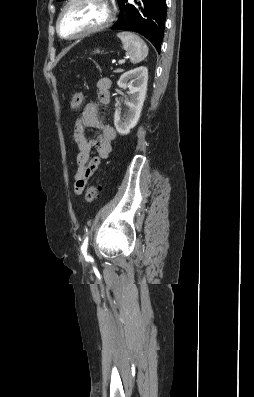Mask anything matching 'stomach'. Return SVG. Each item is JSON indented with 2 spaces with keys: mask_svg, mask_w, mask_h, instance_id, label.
<instances>
[{
  "mask_svg": "<svg viewBox=\"0 0 254 397\" xmlns=\"http://www.w3.org/2000/svg\"><path fill=\"white\" fill-rule=\"evenodd\" d=\"M98 52H99V50L97 49V50H96V53H98Z\"/></svg>",
  "mask_w": 254,
  "mask_h": 397,
  "instance_id": "0dacf381",
  "label": "stomach"
}]
</instances>
